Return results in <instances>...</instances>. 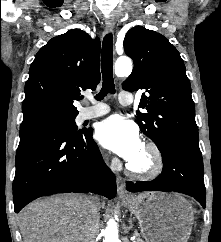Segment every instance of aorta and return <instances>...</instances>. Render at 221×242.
Wrapping results in <instances>:
<instances>
[{
    "label": "aorta",
    "mask_w": 221,
    "mask_h": 242,
    "mask_svg": "<svg viewBox=\"0 0 221 242\" xmlns=\"http://www.w3.org/2000/svg\"><path fill=\"white\" fill-rule=\"evenodd\" d=\"M132 72V61L128 57H120L115 63V74L119 78L128 77ZM103 242H120L118 237V227L114 220L108 222L103 230Z\"/></svg>",
    "instance_id": "1"
}]
</instances>
